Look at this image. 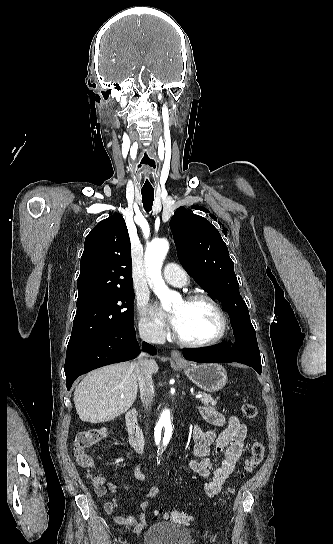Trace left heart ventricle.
<instances>
[{"label": "left heart ventricle", "mask_w": 333, "mask_h": 544, "mask_svg": "<svg viewBox=\"0 0 333 544\" xmlns=\"http://www.w3.org/2000/svg\"><path fill=\"white\" fill-rule=\"evenodd\" d=\"M173 313L178 316L176 331L186 340L206 341L219 331V316L208 302H179L174 306Z\"/></svg>", "instance_id": "b2bd125f"}]
</instances>
